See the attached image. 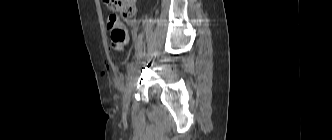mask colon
I'll list each match as a JSON object with an SVG mask.
<instances>
[{
    "label": "colon",
    "instance_id": "1",
    "mask_svg": "<svg viewBox=\"0 0 332 140\" xmlns=\"http://www.w3.org/2000/svg\"><path fill=\"white\" fill-rule=\"evenodd\" d=\"M106 6L121 17L129 19L136 13L137 0H103ZM106 26L111 32L112 45L117 49H122L128 40L127 31L116 14L108 16Z\"/></svg>",
    "mask_w": 332,
    "mask_h": 140
}]
</instances>
